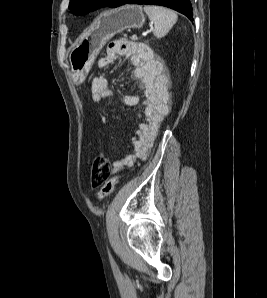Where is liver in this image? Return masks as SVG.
Segmentation results:
<instances>
[{"label": "liver", "instance_id": "6515ba94", "mask_svg": "<svg viewBox=\"0 0 267 298\" xmlns=\"http://www.w3.org/2000/svg\"><path fill=\"white\" fill-rule=\"evenodd\" d=\"M90 34V31H88L87 33H85L81 39H83L84 37H87Z\"/></svg>", "mask_w": 267, "mask_h": 298}]
</instances>
